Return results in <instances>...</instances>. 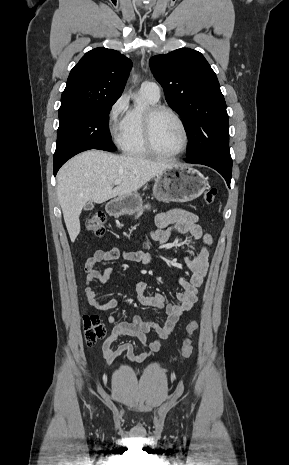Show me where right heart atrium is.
Listing matches in <instances>:
<instances>
[{
  "label": "right heart atrium",
  "instance_id": "d8ad5b80",
  "mask_svg": "<svg viewBox=\"0 0 289 465\" xmlns=\"http://www.w3.org/2000/svg\"><path fill=\"white\" fill-rule=\"evenodd\" d=\"M128 107L127 95H121L110 107L108 114V127L110 134L117 140L121 137L126 118V110Z\"/></svg>",
  "mask_w": 289,
  "mask_h": 465
}]
</instances>
